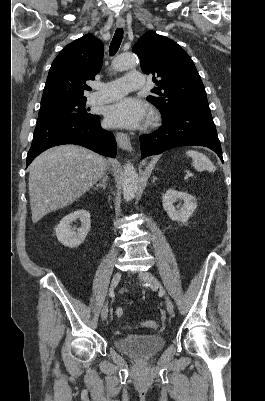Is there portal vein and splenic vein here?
<instances>
[{
  "label": "portal vein and splenic vein",
  "mask_w": 265,
  "mask_h": 401,
  "mask_svg": "<svg viewBox=\"0 0 265 401\" xmlns=\"http://www.w3.org/2000/svg\"><path fill=\"white\" fill-rule=\"evenodd\" d=\"M186 176H193V174H192V172H189V170H187Z\"/></svg>",
  "instance_id": "18ae733b"
}]
</instances>
